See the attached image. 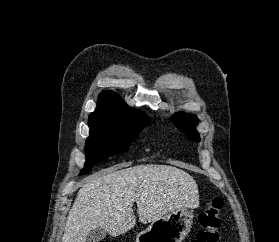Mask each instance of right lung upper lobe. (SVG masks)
<instances>
[{
    "instance_id": "1",
    "label": "right lung upper lobe",
    "mask_w": 279,
    "mask_h": 242,
    "mask_svg": "<svg viewBox=\"0 0 279 242\" xmlns=\"http://www.w3.org/2000/svg\"><path fill=\"white\" fill-rule=\"evenodd\" d=\"M89 121H106L117 125H137L148 122V117L131 109L115 93L106 91L99 94L97 108L89 115Z\"/></svg>"
}]
</instances>
